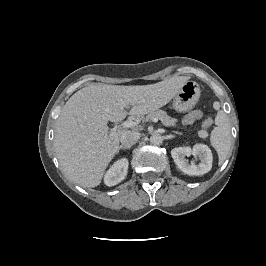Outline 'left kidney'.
<instances>
[{
    "label": "left kidney",
    "mask_w": 266,
    "mask_h": 266,
    "mask_svg": "<svg viewBox=\"0 0 266 266\" xmlns=\"http://www.w3.org/2000/svg\"><path fill=\"white\" fill-rule=\"evenodd\" d=\"M193 155L200 159L198 165L189 163L186 157ZM171 156L177 167L188 175H203L208 173L212 168V153L207 145L196 144L193 148L177 147L172 149Z\"/></svg>",
    "instance_id": "5707ae66"
}]
</instances>
